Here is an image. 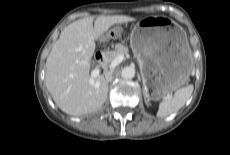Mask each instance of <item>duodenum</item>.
<instances>
[{
  "label": "duodenum",
  "instance_id": "duodenum-1",
  "mask_svg": "<svg viewBox=\"0 0 230 155\" xmlns=\"http://www.w3.org/2000/svg\"><path fill=\"white\" fill-rule=\"evenodd\" d=\"M95 59L101 65L106 64V54L103 51L97 52L96 55H95Z\"/></svg>",
  "mask_w": 230,
  "mask_h": 155
}]
</instances>
